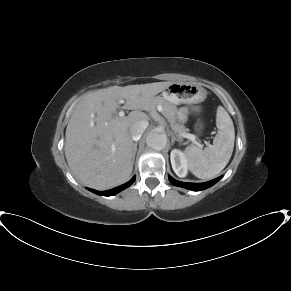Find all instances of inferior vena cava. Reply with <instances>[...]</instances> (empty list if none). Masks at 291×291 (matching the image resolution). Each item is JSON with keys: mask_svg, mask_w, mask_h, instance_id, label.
I'll use <instances>...</instances> for the list:
<instances>
[{"mask_svg": "<svg viewBox=\"0 0 291 291\" xmlns=\"http://www.w3.org/2000/svg\"><path fill=\"white\" fill-rule=\"evenodd\" d=\"M147 126H148V121H139L131 125L129 131H130L132 140L138 141L141 138Z\"/></svg>", "mask_w": 291, "mask_h": 291, "instance_id": "obj_1", "label": "inferior vena cava"}]
</instances>
